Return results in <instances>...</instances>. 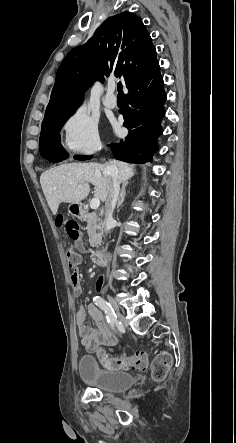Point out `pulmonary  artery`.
<instances>
[{
	"label": "pulmonary artery",
	"instance_id": "1",
	"mask_svg": "<svg viewBox=\"0 0 236 443\" xmlns=\"http://www.w3.org/2000/svg\"><path fill=\"white\" fill-rule=\"evenodd\" d=\"M115 89H116L115 83L114 82L109 83L108 90L102 98V103L107 108L113 109L116 107V104H117L116 101L110 99V96H112L114 94Z\"/></svg>",
	"mask_w": 236,
	"mask_h": 443
}]
</instances>
